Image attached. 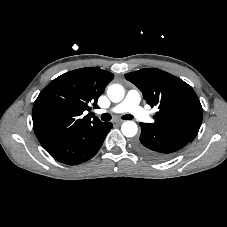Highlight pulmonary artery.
<instances>
[{"label":"pulmonary artery","instance_id":"1","mask_svg":"<svg viewBox=\"0 0 227 227\" xmlns=\"http://www.w3.org/2000/svg\"><path fill=\"white\" fill-rule=\"evenodd\" d=\"M141 95L138 90L131 89L127 92L124 100L112 107L107 112L110 113H130L142 122H150V115L140 106Z\"/></svg>","mask_w":227,"mask_h":227}]
</instances>
